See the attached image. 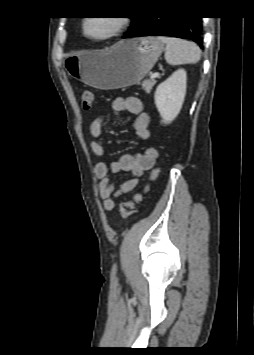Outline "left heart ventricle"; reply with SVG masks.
<instances>
[{
  "label": "left heart ventricle",
  "mask_w": 254,
  "mask_h": 355,
  "mask_svg": "<svg viewBox=\"0 0 254 355\" xmlns=\"http://www.w3.org/2000/svg\"><path fill=\"white\" fill-rule=\"evenodd\" d=\"M114 28V22L107 17H95L87 23V33L94 37H100L108 34Z\"/></svg>",
  "instance_id": "b2bd125f"
}]
</instances>
